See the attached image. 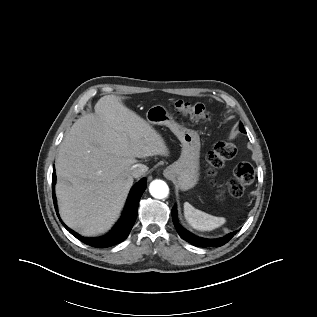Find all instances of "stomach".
I'll return each mask as SVG.
<instances>
[{"instance_id": "stomach-1", "label": "stomach", "mask_w": 317, "mask_h": 317, "mask_svg": "<svg viewBox=\"0 0 317 317\" xmlns=\"http://www.w3.org/2000/svg\"><path fill=\"white\" fill-rule=\"evenodd\" d=\"M146 119L152 125H165L181 142L180 158L164 170L177 189L187 191L199 180L200 137L198 133L177 123L172 114L163 105H154L147 110Z\"/></svg>"}]
</instances>
